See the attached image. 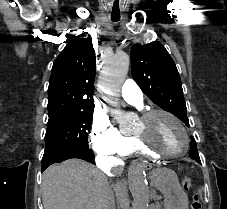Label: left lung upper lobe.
I'll list each match as a JSON object with an SVG mask.
<instances>
[{"label":"left lung upper lobe","instance_id":"obj_1","mask_svg":"<svg viewBox=\"0 0 227 209\" xmlns=\"http://www.w3.org/2000/svg\"><path fill=\"white\" fill-rule=\"evenodd\" d=\"M130 56L132 76L141 90L159 107L174 114L189 127L181 79L165 47L157 41L134 44ZM189 156L200 163L193 137Z\"/></svg>","mask_w":227,"mask_h":209}]
</instances>
